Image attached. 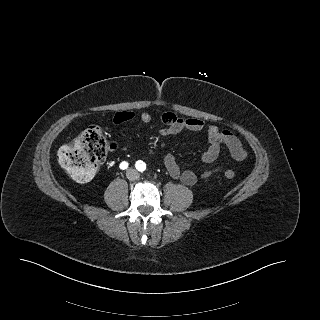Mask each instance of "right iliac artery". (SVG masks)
Here are the masks:
<instances>
[{"label":"right iliac artery","mask_w":320,"mask_h":320,"mask_svg":"<svg viewBox=\"0 0 320 320\" xmlns=\"http://www.w3.org/2000/svg\"><path fill=\"white\" fill-rule=\"evenodd\" d=\"M120 168H121L122 170L127 169V168H128V163H127L126 161L121 162Z\"/></svg>","instance_id":"1"}]
</instances>
